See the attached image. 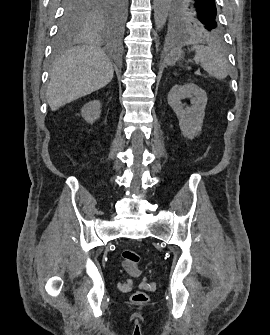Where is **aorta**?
<instances>
[{"mask_svg":"<svg viewBox=\"0 0 270 335\" xmlns=\"http://www.w3.org/2000/svg\"><path fill=\"white\" fill-rule=\"evenodd\" d=\"M171 0H153L156 30H162L170 10Z\"/></svg>","mask_w":270,"mask_h":335,"instance_id":"1","label":"aorta"}]
</instances>
